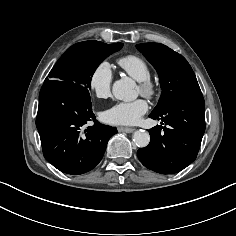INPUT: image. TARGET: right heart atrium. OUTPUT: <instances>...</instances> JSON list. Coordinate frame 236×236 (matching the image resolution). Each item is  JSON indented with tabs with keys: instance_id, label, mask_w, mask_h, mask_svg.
Here are the masks:
<instances>
[{
	"instance_id": "right-heart-atrium-1",
	"label": "right heart atrium",
	"mask_w": 236,
	"mask_h": 236,
	"mask_svg": "<svg viewBox=\"0 0 236 236\" xmlns=\"http://www.w3.org/2000/svg\"><path fill=\"white\" fill-rule=\"evenodd\" d=\"M113 73L109 63L100 62L91 71L88 78L90 91L98 98H106L110 95Z\"/></svg>"
}]
</instances>
